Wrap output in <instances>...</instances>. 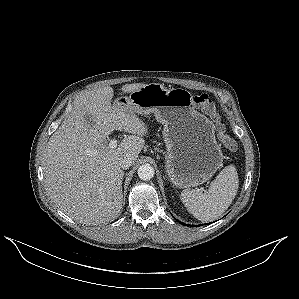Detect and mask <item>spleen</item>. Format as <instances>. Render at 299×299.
<instances>
[{
    "label": "spleen",
    "instance_id": "3e777b00",
    "mask_svg": "<svg viewBox=\"0 0 299 299\" xmlns=\"http://www.w3.org/2000/svg\"><path fill=\"white\" fill-rule=\"evenodd\" d=\"M239 187L238 174L233 165L226 166L211 182L209 189H184L181 200L187 210L202 222L220 217L231 205Z\"/></svg>",
    "mask_w": 299,
    "mask_h": 299
}]
</instances>
